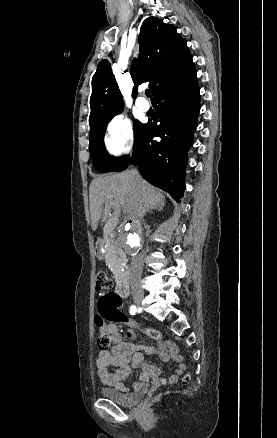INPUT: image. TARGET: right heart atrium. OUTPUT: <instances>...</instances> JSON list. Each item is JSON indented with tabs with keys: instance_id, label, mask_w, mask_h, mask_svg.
<instances>
[{
	"instance_id": "right-heart-atrium-1",
	"label": "right heart atrium",
	"mask_w": 277,
	"mask_h": 438,
	"mask_svg": "<svg viewBox=\"0 0 277 438\" xmlns=\"http://www.w3.org/2000/svg\"><path fill=\"white\" fill-rule=\"evenodd\" d=\"M107 139L116 152H127L134 142L132 124L124 114L116 115L107 127Z\"/></svg>"
}]
</instances>
